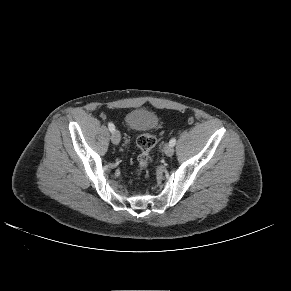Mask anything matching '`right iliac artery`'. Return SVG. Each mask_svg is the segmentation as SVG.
Masks as SVG:
<instances>
[{
  "mask_svg": "<svg viewBox=\"0 0 291 291\" xmlns=\"http://www.w3.org/2000/svg\"><path fill=\"white\" fill-rule=\"evenodd\" d=\"M108 128H109V130H110L111 132H113V131L115 130V126H114V124L111 123V122L108 123Z\"/></svg>",
  "mask_w": 291,
  "mask_h": 291,
  "instance_id": "obj_1",
  "label": "right iliac artery"
}]
</instances>
